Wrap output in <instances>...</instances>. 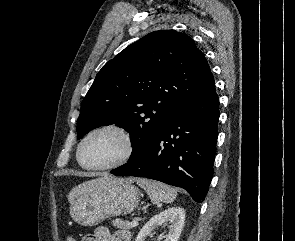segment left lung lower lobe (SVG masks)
Here are the masks:
<instances>
[{
	"label": "left lung lower lobe",
	"mask_w": 295,
	"mask_h": 241,
	"mask_svg": "<svg viewBox=\"0 0 295 241\" xmlns=\"http://www.w3.org/2000/svg\"><path fill=\"white\" fill-rule=\"evenodd\" d=\"M219 98L214 87L178 110L117 176L146 177L184 188L196 202L206 197L218 137Z\"/></svg>",
	"instance_id": "left-lung-lower-lobe-1"
}]
</instances>
